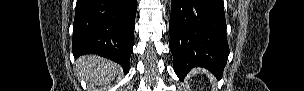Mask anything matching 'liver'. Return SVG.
<instances>
[{
    "label": "liver",
    "mask_w": 304,
    "mask_h": 91,
    "mask_svg": "<svg viewBox=\"0 0 304 91\" xmlns=\"http://www.w3.org/2000/svg\"><path fill=\"white\" fill-rule=\"evenodd\" d=\"M119 70L120 66L118 64L96 55L83 56L76 62L77 73L90 86L110 82Z\"/></svg>",
    "instance_id": "obj_1"
}]
</instances>
